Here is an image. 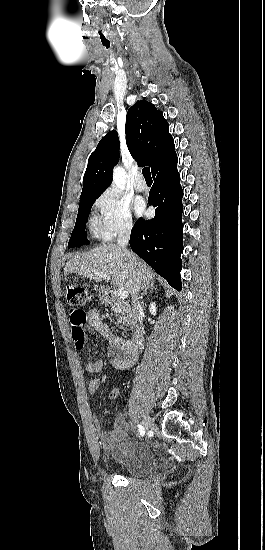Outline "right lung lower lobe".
I'll use <instances>...</instances> for the list:
<instances>
[{
	"mask_svg": "<svg viewBox=\"0 0 265 550\" xmlns=\"http://www.w3.org/2000/svg\"><path fill=\"white\" fill-rule=\"evenodd\" d=\"M175 151L152 171L154 184L148 203L154 206L152 220L139 219L131 236V249L175 289L181 290L180 270L183 251L181 214L183 190L177 171Z\"/></svg>",
	"mask_w": 265,
	"mask_h": 550,
	"instance_id": "98d812e1",
	"label": "right lung lower lobe"
}]
</instances>
